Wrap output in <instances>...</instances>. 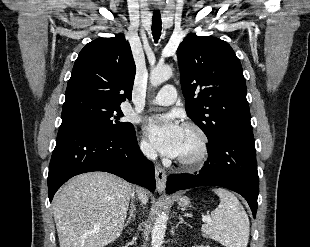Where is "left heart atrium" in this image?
Masks as SVG:
<instances>
[{
  "mask_svg": "<svg viewBox=\"0 0 310 247\" xmlns=\"http://www.w3.org/2000/svg\"><path fill=\"white\" fill-rule=\"evenodd\" d=\"M148 135L154 146L164 155L177 157L180 150L183 128L172 115L155 116L147 124Z\"/></svg>",
  "mask_w": 310,
  "mask_h": 247,
  "instance_id": "39dd6f15",
  "label": "left heart atrium"
}]
</instances>
